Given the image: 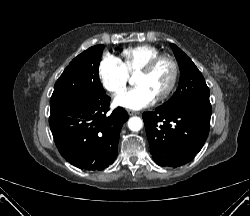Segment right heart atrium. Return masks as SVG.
I'll use <instances>...</instances> for the list:
<instances>
[{
    "label": "right heart atrium",
    "mask_w": 250,
    "mask_h": 216,
    "mask_svg": "<svg viewBox=\"0 0 250 216\" xmlns=\"http://www.w3.org/2000/svg\"><path fill=\"white\" fill-rule=\"evenodd\" d=\"M99 76L104 88L114 94L122 92L129 81V73L114 56H105L99 65Z\"/></svg>",
    "instance_id": "d8ad5b80"
}]
</instances>
